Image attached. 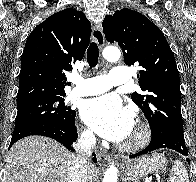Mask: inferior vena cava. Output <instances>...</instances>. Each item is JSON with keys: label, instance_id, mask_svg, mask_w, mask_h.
Instances as JSON below:
<instances>
[{"label": "inferior vena cava", "instance_id": "inferior-vena-cava-1", "mask_svg": "<svg viewBox=\"0 0 196 182\" xmlns=\"http://www.w3.org/2000/svg\"><path fill=\"white\" fill-rule=\"evenodd\" d=\"M96 144L93 132L83 133L73 144L77 154L73 156L68 171V182H88V162Z\"/></svg>", "mask_w": 196, "mask_h": 182}]
</instances>
